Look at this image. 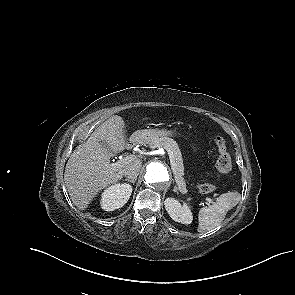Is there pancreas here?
I'll return each instance as SVG.
<instances>
[{"mask_svg": "<svg viewBox=\"0 0 295 295\" xmlns=\"http://www.w3.org/2000/svg\"><path fill=\"white\" fill-rule=\"evenodd\" d=\"M150 147L153 149L158 147H163L164 149L170 150L173 153L174 161H175V166L172 167L174 179L178 186L179 191L181 193H186L187 192L186 183L183 178L184 176L183 159L176 141H174L172 138H169V137H162L158 140L151 142Z\"/></svg>", "mask_w": 295, "mask_h": 295, "instance_id": "pancreas-1", "label": "pancreas"}]
</instances>
